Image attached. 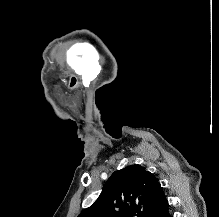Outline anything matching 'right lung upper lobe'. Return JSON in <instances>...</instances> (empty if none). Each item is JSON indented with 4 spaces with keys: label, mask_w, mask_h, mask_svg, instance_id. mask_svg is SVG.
<instances>
[{
    "label": "right lung upper lobe",
    "mask_w": 219,
    "mask_h": 217,
    "mask_svg": "<svg viewBox=\"0 0 219 217\" xmlns=\"http://www.w3.org/2000/svg\"><path fill=\"white\" fill-rule=\"evenodd\" d=\"M168 206L158 180L135 164L115 171L98 199L78 217H160Z\"/></svg>",
    "instance_id": "1"
}]
</instances>
